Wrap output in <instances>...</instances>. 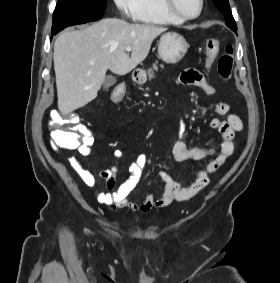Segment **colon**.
<instances>
[{"label": "colon", "mask_w": 280, "mask_h": 283, "mask_svg": "<svg viewBox=\"0 0 280 283\" xmlns=\"http://www.w3.org/2000/svg\"><path fill=\"white\" fill-rule=\"evenodd\" d=\"M219 51V41L215 38L208 39L205 43V55L207 63L215 60ZM234 47L227 44L224 53L218 59V73L228 80L231 77L233 68ZM207 75L211 74L210 70L206 71ZM125 87H114L112 91V101L118 102L125 94ZM69 119H80L79 110H54L51 113V140L53 146L57 149L74 150L80 145L81 135L79 132H89V127H66L62 126Z\"/></svg>", "instance_id": "obj_1"}]
</instances>
